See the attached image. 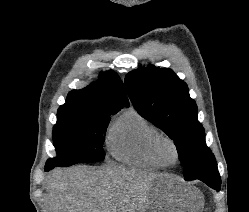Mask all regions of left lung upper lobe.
<instances>
[{
	"mask_svg": "<svg viewBox=\"0 0 249 212\" xmlns=\"http://www.w3.org/2000/svg\"><path fill=\"white\" fill-rule=\"evenodd\" d=\"M125 86L137 112L174 140L184 179L220 176L185 82L170 69L148 66L128 73Z\"/></svg>",
	"mask_w": 249,
	"mask_h": 212,
	"instance_id": "1",
	"label": "left lung upper lobe"
}]
</instances>
